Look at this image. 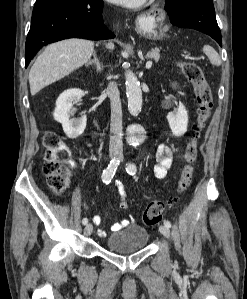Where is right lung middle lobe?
Masks as SVG:
<instances>
[{
    "label": "right lung middle lobe",
    "mask_w": 247,
    "mask_h": 299,
    "mask_svg": "<svg viewBox=\"0 0 247 299\" xmlns=\"http://www.w3.org/2000/svg\"><path fill=\"white\" fill-rule=\"evenodd\" d=\"M64 1H68V0H36L33 9V15Z\"/></svg>",
    "instance_id": "dd1d6c3e"
}]
</instances>
